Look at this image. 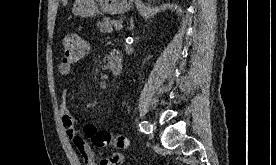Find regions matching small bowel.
<instances>
[{"instance_id":"small-bowel-1","label":"small bowel","mask_w":276,"mask_h":165,"mask_svg":"<svg viewBox=\"0 0 276 165\" xmlns=\"http://www.w3.org/2000/svg\"><path fill=\"white\" fill-rule=\"evenodd\" d=\"M111 55L119 56L117 52H112ZM72 71V65L63 62L59 65V73L62 77H69L72 74ZM60 111L66 135L76 146L86 165H119L122 162L123 157L119 153H113L99 163L96 162L91 147L77 129V118L67 107L66 91H63L61 95Z\"/></svg>"}]
</instances>
